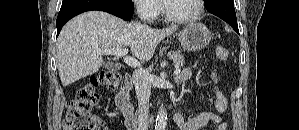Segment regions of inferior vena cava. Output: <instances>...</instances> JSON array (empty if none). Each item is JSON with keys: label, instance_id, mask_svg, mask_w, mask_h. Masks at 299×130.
<instances>
[{"label": "inferior vena cava", "instance_id": "inferior-vena-cava-1", "mask_svg": "<svg viewBox=\"0 0 299 130\" xmlns=\"http://www.w3.org/2000/svg\"><path fill=\"white\" fill-rule=\"evenodd\" d=\"M133 83L138 98L137 130H148V113L151 86L149 84V73L139 68L133 72Z\"/></svg>", "mask_w": 299, "mask_h": 130}]
</instances>
